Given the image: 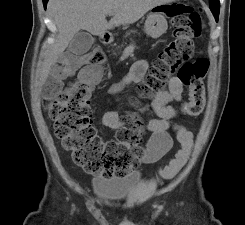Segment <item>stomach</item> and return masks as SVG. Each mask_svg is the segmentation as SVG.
Here are the masks:
<instances>
[{"label":"stomach","mask_w":245,"mask_h":225,"mask_svg":"<svg viewBox=\"0 0 245 225\" xmlns=\"http://www.w3.org/2000/svg\"><path fill=\"white\" fill-rule=\"evenodd\" d=\"M165 6L167 5L162 4L154 7L145 21L144 31L147 36L153 39L161 37L168 29V23L164 12Z\"/></svg>","instance_id":"1"}]
</instances>
